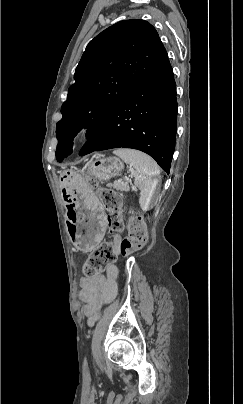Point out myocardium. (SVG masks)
<instances>
[{"instance_id":"1","label":"myocardium","mask_w":243,"mask_h":404,"mask_svg":"<svg viewBox=\"0 0 243 404\" xmlns=\"http://www.w3.org/2000/svg\"><path fill=\"white\" fill-rule=\"evenodd\" d=\"M88 137V129L84 126L75 127L69 134V140L74 144L84 143Z\"/></svg>"}]
</instances>
